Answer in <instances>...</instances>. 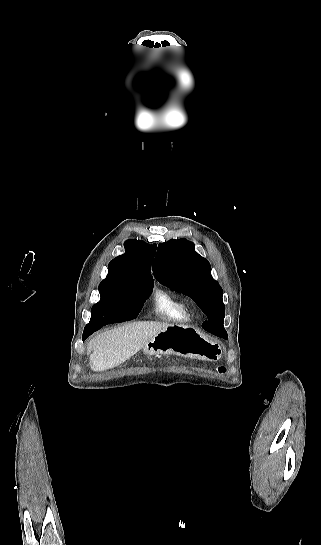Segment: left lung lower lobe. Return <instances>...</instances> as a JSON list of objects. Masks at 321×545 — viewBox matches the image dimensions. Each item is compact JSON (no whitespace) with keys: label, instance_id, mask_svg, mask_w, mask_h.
Here are the masks:
<instances>
[{"label":"left lung lower lobe","instance_id":"1","mask_svg":"<svg viewBox=\"0 0 321 545\" xmlns=\"http://www.w3.org/2000/svg\"><path fill=\"white\" fill-rule=\"evenodd\" d=\"M208 320L203 323L202 328L215 335H220L225 332L223 327L224 316L218 312H212L207 314Z\"/></svg>","mask_w":321,"mask_h":545}]
</instances>
